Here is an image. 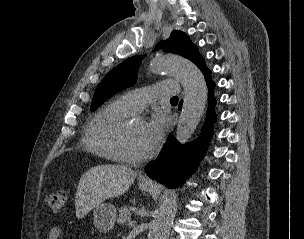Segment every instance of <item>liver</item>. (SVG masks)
Masks as SVG:
<instances>
[{
	"label": "liver",
	"instance_id": "liver-1",
	"mask_svg": "<svg viewBox=\"0 0 304 239\" xmlns=\"http://www.w3.org/2000/svg\"><path fill=\"white\" fill-rule=\"evenodd\" d=\"M136 176V172L124 165H99L86 171L75 196L76 217L82 219L104 200L123 195Z\"/></svg>",
	"mask_w": 304,
	"mask_h": 239
}]
</instances>
